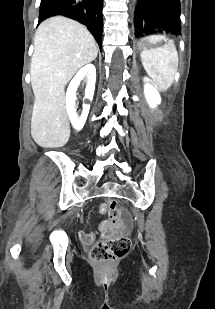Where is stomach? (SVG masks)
<instances>
[{
	"label": "stomach",
	"instance_id": "0dacf381",
	"mask_svg": "<svg viewBox=\"0 0 215 309\" xmlns=\"http://www.w3.org/2000/svg\"><path fill=\"white\" fill-rule=\"evenodd\" d=\"M165 43L166 45H173L169 39L164 35H151L146 38H143L139 42V47L142 50H149L152 47Z\"/></svg>",
	"mask_w": 215,
	"mask_h": 309
}]
</instances>
